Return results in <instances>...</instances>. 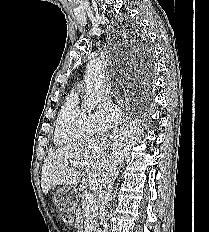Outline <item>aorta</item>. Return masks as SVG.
Wrapping results in <instances>:
<instances>
[{"label": "aorta", "instance_id": "762f6f07", "mask_svg": "<svg viewBox=\"0 0 209 232\" xmlns=\"http://www.w3.org/2000/svg\"><path fill=\"white\" fill-rule=\"evenodd\" d=\"M104 64L99 58L91 59L85 71L87 99L83 106L87 110H93L99 103L105 89ZM101 232V231H100Z\"/></svg>", "mask_w": 209, "mask_h": 232}]
</instances>
